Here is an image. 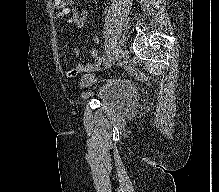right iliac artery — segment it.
Here are the masks:
<instances>
[{"instance_id":"right-iliac-artery-1","label":"right iliac artery","mask_w":219,"mask_h":192,"mask_svg":"<svg viewBox=\"0 0 219 192\" xmlns=\"http://www.w3.org/2000/svg\"><path fill=\"white\" fill-rule=\"evenodd\" d=\"M110 57V51H107L106 54L101 58V61H106Z\"/></svg>"}]
</instances>
